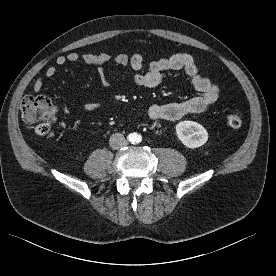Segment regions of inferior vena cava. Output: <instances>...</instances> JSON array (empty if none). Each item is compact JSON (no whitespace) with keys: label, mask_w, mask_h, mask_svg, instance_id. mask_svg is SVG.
I'll list each match as a JSON object with an SVG mask.
<instances>
[{"label":"inferior vena cava","mask_w":276,"mask_h":276,"mask_svg":"<svg viewBox=\"0 0 276 276\" xmlns=\"http://www.w3.org/2000/svg\"><path fill=\"white\" fill-rule=\"evenodd\" d=\"M109 144L112 149L117 150L127 145V140L125 139L123 134L115 133L112 134V136L110 137Z\"/></svg>","instance_id":"inferior-vena-cava-1"}]
</instances>
